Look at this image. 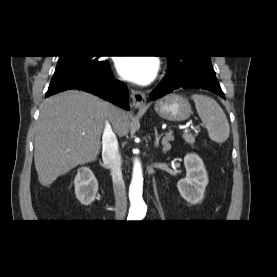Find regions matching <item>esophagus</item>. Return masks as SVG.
<instances>
[{"label": "esophagus", "mask_w": 277, "mask_h": 277, "mask_svg": "<svg viewBox=\"0 0 277 277\" xmlns=\"http://www.w3.org/2000/svg\"><path fill=\"white\" fill-rule=\"evenodd\" d=\"M131 98L134 108L144 109L146 105V96L143 92L138 90H131Z\"/></svg>", "instance_id": "34e87169"}]
</instances>
